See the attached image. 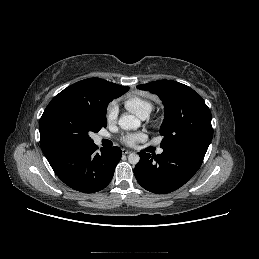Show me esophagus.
I'll list each match as a JSON object with an SVG mask.
<instances>
[{
    "mask_svg": "<svg viewBox=\"0 0 259 259\" xmlns=\"http://www.w3.org/2000/svg\"><path fill=\"white\" fill-rule=\"evenodd\" d=\"M122 153L125 154V155H127V154L132 153V151L127 150V149H122Z\"/></svg>",
    "mask_w": 259,
    "mask_h": 259,
    "instance_id": "34e87169",
    "label": "esophagus"
}]
</instances>
